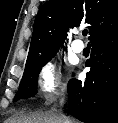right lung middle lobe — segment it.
Instances as JSON below:
<instances>
[{
	"mask_svg": "<svg viewBox=\"0 0 118 123\" xmlns=\"http://www.w3.org/2000/svg\"><path fill=\"white\" fill-rule=\"evenodd\" d=\"M56 53L38 59L33 65L25 68L18 92L15 95L14 101L23 98L34 96L37 88L38 74L41 68L49 62Z\"/></svg>",
	"mask_w": 118,
	"mask_h": 123,
	"instance_id": "dd1d6c3e",
	"label": "right lung middle lobe"
}]
</instances>
